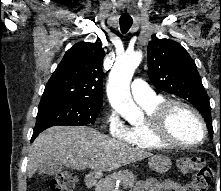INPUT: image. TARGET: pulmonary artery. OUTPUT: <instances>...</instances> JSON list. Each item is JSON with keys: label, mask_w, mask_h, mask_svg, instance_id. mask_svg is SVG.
Listing matches in <instances>:
<instances>
[{"label": "pulmonary artery", "mask_w": 221, "mask_h": 191, "mask_svg": "<svg viewBox=\"0 0 221 191\" xmlns=\"http://www.w3.org/2000/svg\"><path fill=\"white\" fill-rule=\"evenodd\" d=\"M131 94L138 103H148L157 97L152 88L140 78L131 83Z\"/></svg>", "instance_id": "1"}]
</instances>
